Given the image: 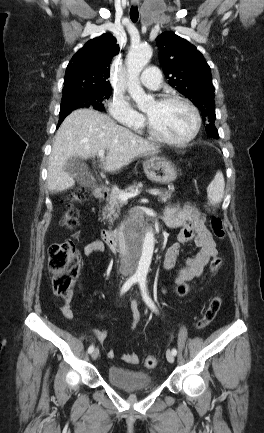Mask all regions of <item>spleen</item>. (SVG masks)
Instances as JSON below:
<instances>
[{
    "label": "spleen",
    "instance_id": "spleen-1",
    "mask_svg": "<svg viewBox=\"0 0 264 433\" xmlns=\"http://www.w3.org/2000/svg\"><path fill=\"white\" fill-rule=\"evenodd\" d=\"M225 189V181L224 176L221 171H218L211 181V183L207 187V197L213 204H219L223 197Z\"/></svg>",
    "mask_w": 264,
    "mask_h": 433
}]
</instances>
